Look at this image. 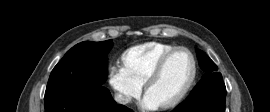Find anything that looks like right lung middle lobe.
Returning <instances> with one entry per match:
<instances>
[{
    "label": "right lung middle lobe",
    "instance_id": "obj_1",
    "mask_svg": "<svg viewBox=\"0 0 270 112\" xmlns=\"http://www.w3.org/2000/svg\"><path fill=\"white\" fill-rule=\"evenodd\" d=\"M112 40L81 42L72 47L52 70L46 91L71 84L94 89L102 86L106 78V54Z\"/></svg>",
    "mask_w": 270,
    "mask_h": 112
}]
</instances>
